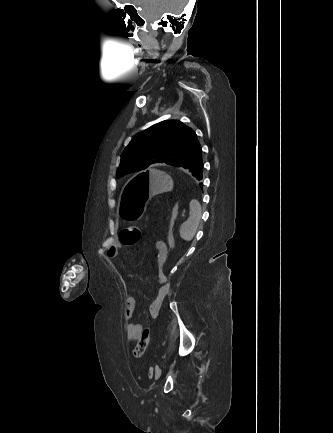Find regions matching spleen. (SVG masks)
<instances>
[{"label":"spleen","mask_w":333,"mask_h":433,"mask_svg":"<svg viewBox=\"0 0 333 433\" xmlns=\"http://www.w3.org/2000/svg\"><path fill=\"white\" fill-rule=\"evenodd\" d=\"M172 189V186L169 188ZM190 216L180 227V237L185 241H191L196 234L201 220V206L197 201L190 203Z\"/></svg>","instance_id":"spleen-1"}]
</instances>
